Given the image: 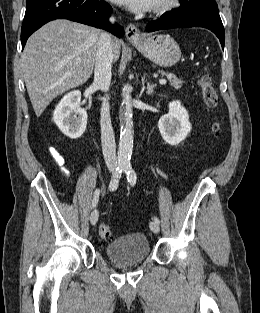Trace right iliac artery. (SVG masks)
Segmentation results:
<instances>
[{
	"mask_svg": "<svg viewBox=\"0 0 260 313\" xmlns=\"http://www.w3.org/2000/svg\"><path fill=\"white\" fill-rule=\"evenodd\" d=\"M124 170V165H118L114 171V174L111 178V181H110V184H109V189L110 190H116L117 187H118V184H119V179L121 177V173L123 172ZM99 194H100V189H97L95 190L94 192V199H93V202H92V208H94L97 204V201H98V197H99Z\"/></svg>",
	"mask_w": 260,
	"mask_h": 313,
	"instance_id": "82829eb1",
	"label": "right iliac artery"
}]
</instances>
